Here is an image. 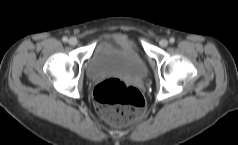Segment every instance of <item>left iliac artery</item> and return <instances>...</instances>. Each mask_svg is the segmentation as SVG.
Returning a JSON list of instances; mask_svg holds the SVG:
<instances>
[{"label": "left iliac artery", "instance_id": "obj_1", "mask_svg": "<svg viewBox=\"0 0 238 145\" xmlns=\"http://www.w3.org/2000/svg\"><path fill=\"white\" fill-rule=\"evenodd\" d=\"M169 42H170V43H174V42H175V38H174V37H171V38L169 39Z\"/></svg>", "mask_w": 238, "mask_h": 145}]
</instances>
